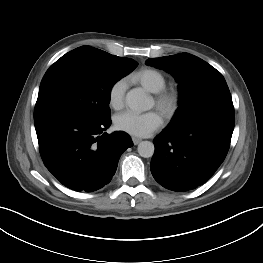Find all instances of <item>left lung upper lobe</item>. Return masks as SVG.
Here are the masks:
<instances>
[{"instance_id": "obj_1", "label": "left lung upper lobe", "mask_w": 263, "mask_h": 263, "mask_svg": "<svg viewBox=\"0 0 263 263\" xmlns=\"http://www.w3.org/2000/svg\"><path fill=\"white\" fill-rule=\"evenodd\" d=\"M145 63L171 73L179 83V107L171 123L192 120L213 111H234L224 77L202 59L180 53L150 58Z\"/></svg>"}]
</instances>
